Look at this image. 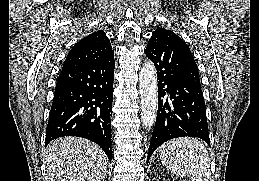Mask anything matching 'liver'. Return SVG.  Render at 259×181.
<instances>
[{
	"label": "liver",
	"instance_id": "liver-1",
	"mask_svg": "<svg viewBox=\"0 0 259 181\" xmlns=\"http://www.w3.org/2000/svg\"><path fill=\"white\" fill-rule=\"evenodd\" d=\"M47 181H102L107 157L95 143L77 137L53 140L45 153Z\"/></svg>",
	"mask_w": 259,
	"mask_h": 181
}]
</instances>
